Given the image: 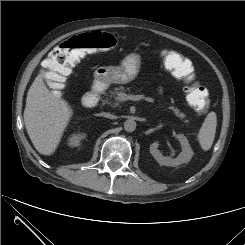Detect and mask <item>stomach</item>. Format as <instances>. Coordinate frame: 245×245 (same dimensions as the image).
Listing matches in <instances>:
<instances>
[{"mask_svg": "<svg viewBox=\"0 0 245 245\" xmlns=\"http://www.w3.org/2000/svg\"><path fill=\"white\" fill-rule=\"evenodd\" d=\"M141 66V56L130 53L125 56L120 66H101L94 72L96 82L103 84H126L133 81Z\"/></svg>", "mask_w": 245, "mask_h": 245, "instance_id": "stomach-1", "label": "stomach"}]
</instances>
